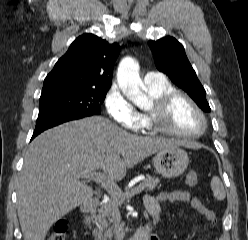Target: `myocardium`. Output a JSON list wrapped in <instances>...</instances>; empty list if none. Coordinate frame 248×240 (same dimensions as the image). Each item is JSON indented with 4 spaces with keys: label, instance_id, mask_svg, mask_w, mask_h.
<instances>
[{
    "label": "myocardium",
    "instance_id": "1",
    "mask_svg": "<svg viewBox=\"0 0 248 240\" xmlns=\"http://www.w3.org/2000/svg\"><path fill=\"white\" fill-rule=\"evenodd\" d=\"M178 98L185 99L199 114L203 122V127L200 131L195 133H182L170 129L164 124V119L171 105ZM147 121L149 128L157 133L184 139H195L202 136L208 126V120L201 107L190 95L180 90H172L162 94L157 99H153L152 107L147 112Z\"/></svg>",
    "mask_w": 248,
    "mask_h": 240
}]
</instances>
